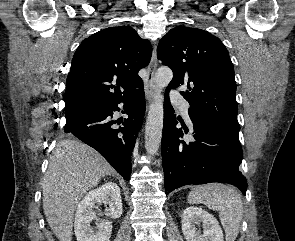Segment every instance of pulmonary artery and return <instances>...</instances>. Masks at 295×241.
I'll return each instance as SVG.
<instances>
[{"mask_svg":"<svg viewBox=\"0 0 295 241\" xmlns=\"http://www.w3.org/2000/svg\"><path fill=\"white\" fill-rule=\"evenodd\" d=\"M170 96H171L172 102L178 108H180L185 118L189 119V115H188L189 103L176 91L171 92Z\"/></svg>","mask_w":295,"mask_h":241,"instance_id":"pulmonary-artery-1","label":"pulmonary artery"}]
</instances>
